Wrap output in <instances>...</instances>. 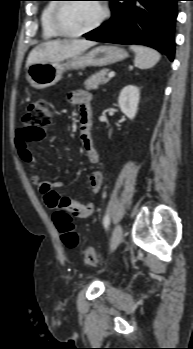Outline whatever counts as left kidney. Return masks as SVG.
I'll return each instance as SVG.
<instances>
[{
  "label": "left kidney",
  "instance_id": "5707ae66",
  "mask_svg": "<svg viewBox=\"0 0 193 349\" xmlns=\"http://www.w3.org/2000/svg\"><path fill=\"white\" fill-rule=\"evenodd\" d=\"M139 99V88L134 85H127L120 92L118 98L119 107L122 113L130 120L136 116Z\"/></svg>",
  "mask_w": 193,
  "mask_h": 349
}]
</instances>
